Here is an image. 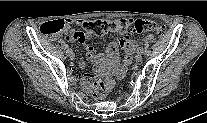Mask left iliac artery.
Listing matches in <instances>:
<instances>
[{
    "mask_svg": "<svg viewBox=\"0 0 207 123\" xmlns=\"http://www.w3.org/2000/svg\"><path fill=\"white\" fill-rule=\"evenodd\" d=\"M138 52L143 53V48H142V47H139V48H138Z\"/></svg>",
    "mask_w": 207,
    "mask_h": 123,
    "instance_id": "left-iliac-artery-1",
    "label": "left iliac artery"
}]
</instances>
